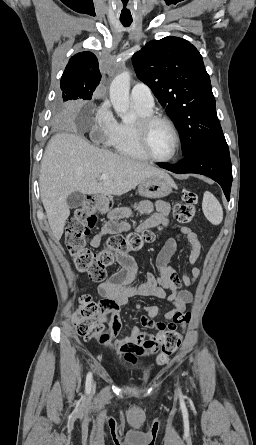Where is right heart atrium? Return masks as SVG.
I'll return each instance as SVG.
<instances>
[{
    "label": "right heart atrium",
    "mask_w": 256,
    "mask_h": 445,
    "mask_svg": "<svg viewBox=\"0 0 256 445\" xmlns=\"http://www.w3.org/2000/svg\"><path fill=\"white\" fill-rule=\"evenodd\" d=\"M118 122L110 111L108 103L101 104L95 112L92 136L101 143H109L115 134Z\"/></svg>",
    "instance_id": "1"
}]
</instances>
